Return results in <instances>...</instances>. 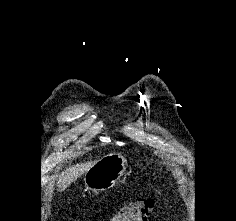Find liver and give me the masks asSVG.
Listing matches in <instances>:
<instances>
[{
  "label": "liver",
  "instance_id": "1",
  "mask_svg": "<svg viewBox=\"0 0 236 221\" xmlns=\"http://www.w3.org/2000/svg\"><path fill=\"white\" fill-rule=\"evenodd\" d=\"M97 161H90L82 164H77L69 167L66 171L62 172L59 177L58 187L61 189L66 188L78 177L85 174Z\"/></svg>",
  "mask_w": 236,
  "mask_h": 221
}]
</instances>
